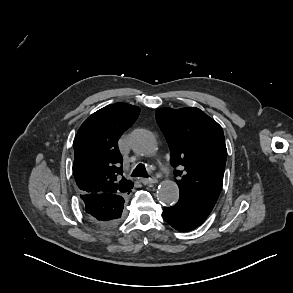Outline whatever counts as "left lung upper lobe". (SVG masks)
<instances>
[{"label":"left lung upper lobe","mask_w":293,"mask_h":293,"mask_svg":"<svg viewBox=\"0 0 293 293\" xmlns=\"http://www.w3.org/2000/svg\"><path fill=\"white\" fill-rule=\"evenodd\" d=\"M157 123L170 147L180 199L212 211L227 158L221 126L198 108H160Z\"/></svg>","instance_id":"5c2ea615"}]
</instances>
